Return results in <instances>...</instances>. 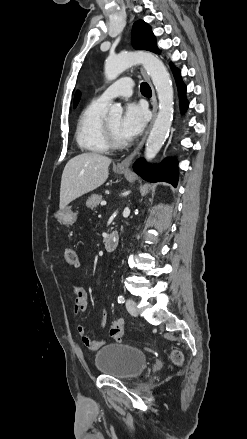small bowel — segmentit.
Here are the masks:
<instances>
[{"instance_id":"1","label":"small bowel","mask_w":247,"mask_h":439,"mask_svg":"<svg viewBox=\"0 0 247 439\" xmlns=\"http://www.w3.org/2000/svg\"><path fill=\"white\" fill-rule=\"evenodd\" d=\"M72 293L75 297L74 313L76 316H81L86 312L88 308L87 292L81 284L75 283L72 287ZM106 320H107V314L106 311H103L101 323L97 328V330H95L93 333L87 332L83 324L81 323L78 324L77 331L80 335L82 343L87 347V349L91 351H96L104 346L105 344L104 340H94L92 337L95 333L104 329L106 325Z\"/></svg>"}]
</instances>
